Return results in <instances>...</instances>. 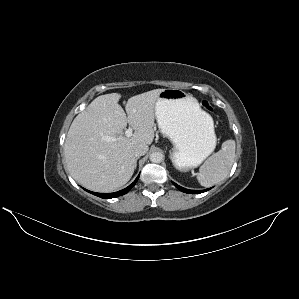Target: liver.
Wrapping results in <instances>:
<instances>
[{
  "label": "liver",
  "instance_id": "liver-1",
  "mask_svg": "<svg viewBox=\"0 0 299 299\" xmlns=\"http://www.w3.org/2000/svg\"><path fill=\"white\" fill-rule=\"evenodd\" d=\"M163 89L128 99L126 112L119 93L100 95L73 120L64 144V158L71 176L96 192H112L125 185L135 169L134 148L154 139L156 102ZM127 123L135 130L125 137ZM118 138L105 141L103 137Z\"/></svg>",
  "mask_w": 299,
  "mask_h": 299
}]
</instances>
